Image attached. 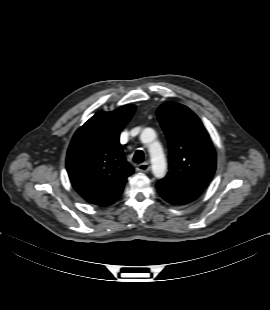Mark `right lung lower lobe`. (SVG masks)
<instances>
[{
    "label": "right lung lower lobe",
    "mask_w": 270,
    "mask_h": 310,
    "mask_svg": "<svg viewBox=\"0 0 270 310\" xmlns=\"http://www.w3.org/2000/svg\"><path fill=\"white\" fill-rule=\"evenodd\" d=\"M120 194L110 198L109 200H107L103 204H101L100 206H109V205L113 204L119 198Z\"/></svg>",
    "instance_id": "right-lung-lower-lobe-1"
}]
</instances>
